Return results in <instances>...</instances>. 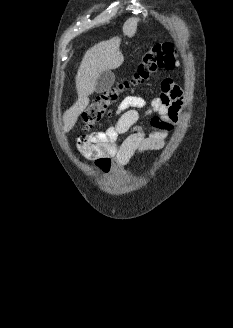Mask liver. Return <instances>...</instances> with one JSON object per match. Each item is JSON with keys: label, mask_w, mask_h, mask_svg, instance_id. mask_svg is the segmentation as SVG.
I'll list each match as a JSON object with an SVG mask.
<instances>
[{"label": "liver", "mask_w": 233, "mask_h": 328, "mask_svg": "<svg viewBox=\"0 0 233 328\" xmlns=\"http://www.w3.org/2000/svg\"><path fill=\"white\" fill-rule=\"evenodd\" d=\"M137 20L131 19L123 26L128 37L134 36ZM119 37L102 41L88 49L81 61L75 77L78 99L63 115L64 132H69L75 125L79 115L89 104V96L95 91L99 74L106 70L117 69L124 62L120 51Z\"/></svg>", "instance_id": "obj_1"}]
</instances>
